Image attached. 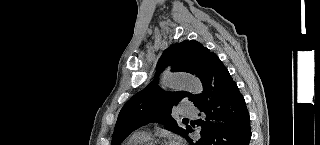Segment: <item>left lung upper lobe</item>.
Segmentation results:
<instances>
[{"label": "left lung upper lobe", "mask_w": 320, "mask_h": 145, "mask_svg": "<svg viewBox=\"0 0 320 145\" xmlns=\"http://www.w3.org/2000/svg\"><path fill=\"white\" fill-rule=\"evenodd\" d=\"M217 59L213 52L195 40H185L167 48L158 60L156 79L121 109L111 145H120L132 131L152 121L161 122L165 129L186 138L189 126L180 128L171 116V108L185 97L195 104L199 95L185 91L165 92L156 84L158 75L171 65L173 72H188L202 80L207 68Z\"/></svg>", "instance_id": "5c2ea615"}]
</instances>
